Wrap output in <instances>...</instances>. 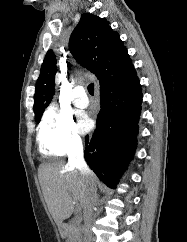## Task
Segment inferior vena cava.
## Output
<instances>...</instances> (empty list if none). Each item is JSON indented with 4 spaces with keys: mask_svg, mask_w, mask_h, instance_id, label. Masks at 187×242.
<instances>
[{
    "mask_svg": "<svg viewBox=\"0 0 187 242\" xmlns=\"http://www.w3.org/2000/svg\"><path fill=\"white\" fill-rule=\"evenodd\" d=\"M68 164L78 169L79 173L84 177H89L93 173L84 160L83 145L81 140L73 141L69 154ZM97 203L96 184L92 183L87 190V197L84 202V224H83V240L82 242H93L91 224L93 220V209Z\"/></svg>",
    "mask_w": 187,
    "mask_h": 242,
    "instance_id": "602c4592",
    "label": "inferior vena cava"
}]
</instances>
